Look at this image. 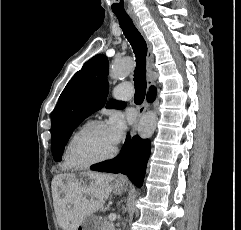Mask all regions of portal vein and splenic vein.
Masks as SVG:
<instances>
[{"mask_svg":"<svg viewBox=\"0 0 241 230\" xmlns=\"http://www.w3.org/2000/svg\"><path fill=\"white\" fill-rule=\"evenodd\" d=\"M109 220L110 221H115L116 220V214H110L109 215Z\"/></svg>","mask_w":241,"mask_h":230,"instance_id":"1","label":"portal vein and splenic vein"}]
</instances>
